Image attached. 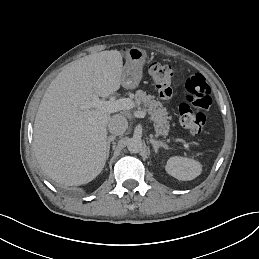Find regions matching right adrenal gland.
<instances>
[{
    "label": "right adrenal gland",
    "instance_id": "obj_1",
    "mask_svg": "<svg viewBox=\"0 0 259 259\" xmlns=\"http://www.w3.org/2000/svg\"><path fill=\"white\" fill-rule=\"evenodd\" d=\"M114 140H115V136L107 137V158L109 156L110 144L111 142H114Z\"/></svg>",
    "mask_w": 259,
    "mask_h": 259
}]
</instances>
